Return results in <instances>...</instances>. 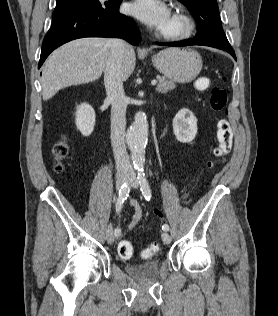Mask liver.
I'll return each instance as SVG.
<instances>
[{"mask_svg":"<svg viewBox=\"0 0 278 316\" xmlns=\"http://www.w3.org/2000/svg\"><path fill=\"white\" fill-rule=\"evenodd\" d=\"M110 39L86 37L76 39L54 51L42 70V95L52 98L59 90L98 79L103 73L111 52ZM136 55L128 46L121 64L122 80L135 69Z\"/></svg>","mask_w":278,"mask_h":316,"instance_id":"6515ba94","label":"liver"}]
</instances>
